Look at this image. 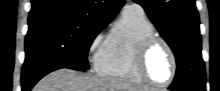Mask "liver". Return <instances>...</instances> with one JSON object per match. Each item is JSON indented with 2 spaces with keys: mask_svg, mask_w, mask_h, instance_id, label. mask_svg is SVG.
I'll list each match as a JSON object with an SVG mask.
<instances>
[{
  "mask_svg": "<svg viewBox=\"0 0 220 91\" xmlns=\"http://www.w3.org/2000/svg\"><path fill=\"white\" fill-rule=\"evenodd\" d=\"M33 91H142L127 82L99 76L80 75L60 69L42 78Z\"/></svg>",
  "mask_w": 220,
  "mask_h": 91,
  "instance_id": "liver-1",
  "label": "liver"
}]
</instances>
